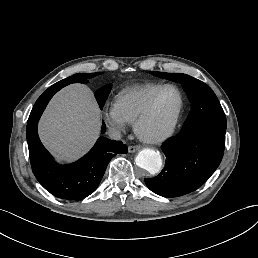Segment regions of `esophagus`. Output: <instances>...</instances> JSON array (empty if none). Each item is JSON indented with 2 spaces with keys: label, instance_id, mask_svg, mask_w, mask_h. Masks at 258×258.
Returning a JSON list of instances; mask_svg holds the SVG:
<instances>
[{
  "label": "esophagus",
  "instance_id": "esophagus-1",
  "mask_svg": "<svg viewBox=\"0 0 258 258\" xmlns=\"http://www.w3.org/2000/svg\"><path fill=\"white\" fill-rule=\"evenodd\" d=\"M141 149V146H129L128 147V152L130 153H134V152H137Z\"/></svg>",
  "mask_w": 258,
  "mask_h": 258
}]
</instances>
